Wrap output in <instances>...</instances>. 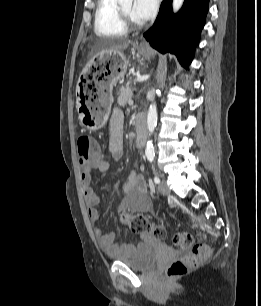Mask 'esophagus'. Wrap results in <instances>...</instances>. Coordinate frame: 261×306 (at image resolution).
<instances>
[{"label":"esophagus","mask_w":261,"mask_h":306,"mask_svg":"<svg viewBox=\"0 0 261 306\" xmlns=\"http://www.w3.org/2000/svg\"><path fill=\"white\" fill-rule=\"evenodd\" d=\"M139 47L141 49H148V44L145 42V41H142L140 44H139Z\"/></svg>","instance_id":"34e87169"}]
</instances>
